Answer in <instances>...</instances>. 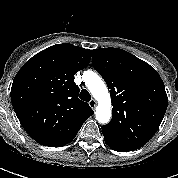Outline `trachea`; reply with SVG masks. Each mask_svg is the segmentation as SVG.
Here are the masks:
<instances>
[{"label": "trachea", "instance_id": "obj_1", "mask_svg": "<svg viewBox=\"0 0 178 178\" xmlns=\"http://www.w3.org/2000/svg\"><path fill=\"white\" fill-rule=\"evenodd\" d=\"M79 97H80V99H82L83 101H86V102H89L91 100V95L86 89H83L80 92V96Z\"/></svg>", "mask_w": 178, "mask_h": 178}]
</instances>
